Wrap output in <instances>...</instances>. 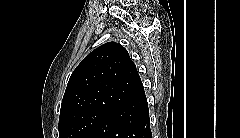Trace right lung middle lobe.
<instances>
[{
  "mask_svg": "<svg viewBox=\"0 0 240 138\" xmlns=\"http://www.w3.org/2000/svg\"><path fill=\"white\" fill-rule=\"evenodd\" d=\"M107 114L86 110L59 119V138H86L93 127Z\"/></svg>",
  "mask_w": 240,
  "mask_h": 138,
  "instance_id": "dd1d6c3e",
  "label": "right lung middle lobe"
}]
</instances>
